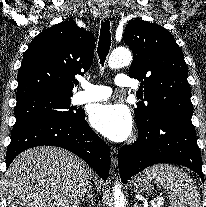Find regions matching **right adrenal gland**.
I'll return each instance as SVG.
<instances>
[{
	"instance_id": "2a0ac1e0",
	"label": "right adrenal gland",
	"mask_w": 206,
	"mask_h": 207,
	"mask_svg": "<svg viewBox=\"0 0 206 207\" xmlns=\"http://www.w3.org/2000/svg\"><path fill=\"white\" fill-rule=\"evenodd\" d=\"M89 201V203L94 206V201H93V196H92V191L89 189L88 190V195L82 199V202Z\"/></svg>"
}]
</instances>
